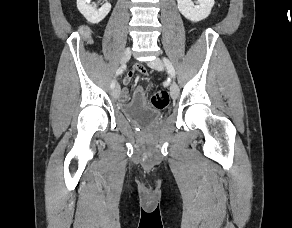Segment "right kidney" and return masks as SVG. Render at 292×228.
Instances as JSON below:
<instances>
[{
	"instance_id": "ca27d5eb",
	"label": "right kidney",
	"mask_w": 292,
	"mask_h": 228,
	"mask_svg": "<svg viewBox=\"0 0 292 228\" xmlns=\"http://www.w3.org/2000/svg\"><path fill=\"white\" fill-rule=\"evenodd\" d=\"M90 2L91 0H77V8L88 22L98 24L111 10V4L107 2L97 10L90 4Z\"/></svg>"
}]
</instances>
